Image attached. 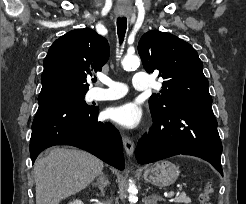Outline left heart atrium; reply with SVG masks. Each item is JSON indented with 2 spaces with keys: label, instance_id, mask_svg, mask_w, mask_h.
<instances>
[{
  "label": "left heart atrium",
  "instance_id": "1",
  "mask_svg": "<svg viewBox=\"0 0 246 204\" xmlns=\"http://www.w3.org/2000/svg\"><path fill=\"white\" fill-rule=\"evenodd\" d=\"M105 117L124 128L132 129L141 122L142 113L134 103H125L108 108L105 111Z\"/></svg>",
  "mask_w": 246,
  "mask_h": 204
}]
</instances>
